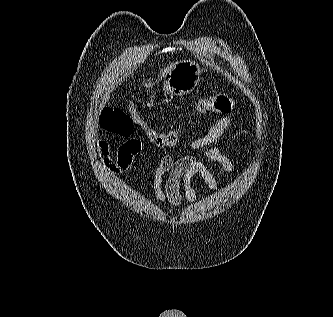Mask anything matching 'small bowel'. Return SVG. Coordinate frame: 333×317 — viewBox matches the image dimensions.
Instances as JSON below:
<instances>
[{"instance_id":"small-bowel-1","label":"small bowel","mask_w":333,"mask_h":317,"mask_svg":"<svg viewBox=\"0 0 333 317\" xmlns=\"http://www.w3.org/2000/svg\"><path fill=\"white\" fill-rule=\"evenodd\" d=\"M233 122L234 118L231 116L221 117L203 136L189 143L193 151L207 148V158L231 174L235 173V165L216 144ZM97 148L106 168L120 174L131 167L134 158L141 152L142 143L138 138H129L118 147L115 155L104 140L98 141ZM195 176H199L211 190L215 192L219 190L217 180L196 155H185L178 159L172 158L169 154L163 155L156 168L153 182L157 201L162 205L167 203L176 208L182 205L183 200L193 205L196 201L193 185Z\"/></svg>"}]
</instances>
